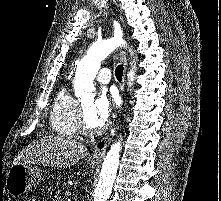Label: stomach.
Here are the masks:
<instances>
[{
  "mask_svg": "<svg viewBox=\"0 0 221 201\" xmlns=\"http://www.w3.org/2000/svg\"><path fill=\"white\" fill-rule=\"evenodd\" d=\"M95 166V163H90ZM41 170L32 164H13L7 174L6 190L12 196H21L32 190L41 181Z\"/></svg>",
  "mask_w": 221,
  "mask_h": 201,
  "instance_id": "1",
  "label": "stomach"
}]
</instances>
